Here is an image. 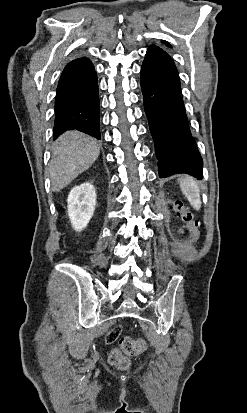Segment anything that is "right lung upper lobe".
<instances>
[{"label":"right lung upper lobe","instance_id":"1","mask_svg":"<svg viewBox=\"0 0 247 413\" xmlns=\"http://www.w3.org/2000/svg\"><path fill=\"white\" fill-rule=\"evenodd\" d=\"M83 59H87V58H78V59H75V61H79V60H83Z\"/></svg>","mask_w":247,"mask_h":413}]
</instances>
